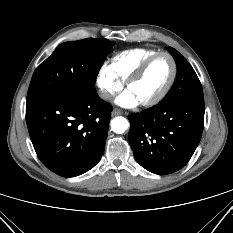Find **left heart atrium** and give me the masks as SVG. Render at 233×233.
Segmentation results:
<instances>
[{"instance_id": "obj_1", "label": "left heart atrium", "mask_w": 233, "mask_h": 233, "mask_svg": "<svg viewBox=\"0 0 233 233\" xmlns=\"http://www.w3.org/2000/svg\"><path fill=\"white\" fill-rule=\"evenodd\" d=\"M116 104L124 108H133L139 104L136 96L126 89L115 100Z\"/></svg>"}]
</instances>
